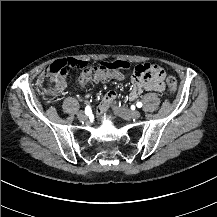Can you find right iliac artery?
<instances>
[{
    "instance_id": "1",
    "label": "right iliac artery",
    "mask_w": 217,
    "mask_h": 217,
    "mask_svg": "<svg viewBox=\"0 0 217 217\" xmlns=\"http://www.w3.org/2000/svg\"><path fill=\"white\" fill-rule=\"evenodd\" d=\"M91 113H92V110H91L90 106H87V107L85 108V114H86V115H90Z\"/></svg>"
}]
</instances>
